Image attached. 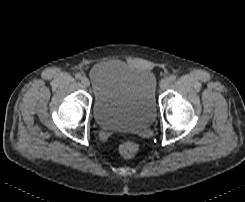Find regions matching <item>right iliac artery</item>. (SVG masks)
I'll return each mask as SVG.
<instances>
[{"instance_id": "1", "label": "right iliac artery", "mask_w": 245, "mask_h": 202, "mask_svg": "<svg viewBox=\"0 0 245 202\" xmlns=\"http://www.w3.org/2000/svg\"><path fill=\"white\" fill-rule=\"evenodd\" d=\"M75 78H76V79H81V74H80V73H76V74H75Z\"/></svg>"}]
</instances>
